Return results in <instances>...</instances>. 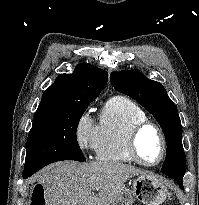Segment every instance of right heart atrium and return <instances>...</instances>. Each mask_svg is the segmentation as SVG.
Returning <instances> with one entry per match:
<instances>
[{
  "mask_svg": "<svg viewBox=\"0 0 199 205\" xmlns=\"http://www.w3.org/2000/svg\"><path fill=\"white\" fill-rule=\"evenodd\" d=\"M97 125L89 112H84L80 117L75 131L76 142L81 150L92 151L96 146Z\"/></svg>",
  "mask_w": 199,
  "mask_h": 205,
  "instance_id": "right-heart-atrium-1",
  "label": "right heart atrium"
}]
</instances>
